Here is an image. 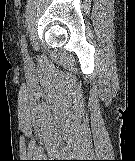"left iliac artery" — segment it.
<instances>
[{
	"instance_id": "44dca946",
	"label": "left iliac artery",
	"mask_w": 135,
	"mask_h": 161,
	"mask_svg": "<svg viewBox=\"0 0 135 161\" xmlns=\"http://www.w3.org/2000/svg\"><path fill=\"white\" fill-rule=\"evenodd\" d=\"M21 50H22L24 58L28 60L29 55H28V52H27V44H26V40H25L24 35H22V37H21Z\"/></svg>"
}]
</instances>
